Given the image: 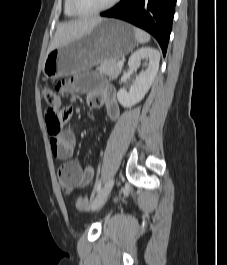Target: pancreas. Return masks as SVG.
I'll return each instance as SVG.
<instances>
[{
	"label": "pancreas",
	"instance_id": "pancreas-1",
	"mask_svg": "<svg viewBox=\"0 0 227 265\" xmlns=\"http://www.w3.org/2000/svg\"><path fill=\"white\" fill-rule=\"evenodd\" d=\"M122 67L118 66V61H104L101 63L99 67H97V70L104 74L109 76L110 78H116L121 72Z\"/></svg>",
	"mask_w": 227,
	"mask_h": 265
}]
</instances>
